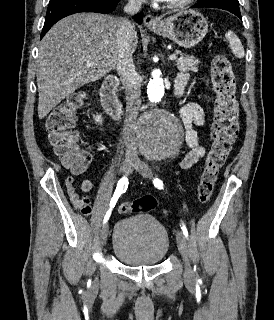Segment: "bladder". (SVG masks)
I'll use <instances>...</instances> for the list:
<instances>
[{
    "label": "bladder",
    "mask_w": 274,
    "mask_h": 320,
    "mask_svg": "<svg viewBox=\"0 0 274 320\" xmlns=\"http://www.w3.org/2000/svg\"><path fill=\"white\" fill-rule=\"evenodd\" d=\"M170 239L166 228L154 217L135 213L114 226L112 250L128 266H153L167 256Z\"/></svg>",
    "instance_id": "1"
}]
</instances>
